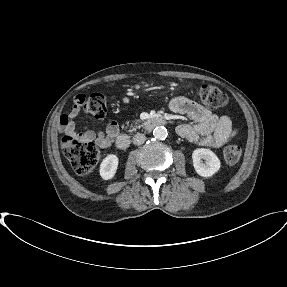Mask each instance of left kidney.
I'll return each mask as SVG.
<instances>
[{"label": "left kidney", "mask_w": 287, "mask_h": 287, "mask_svg": "<svg viewBox=\"0 0 287 287\" xmlns=\"http://www.w3.org/2000/svg\"><path fill=\"white\" fill-rule=\"evenodd\" d=\"M193 166L198 175L211 177L220 169V160L210 149L198 148L192 153ZM204 160V162H203Z\"/></svg>", "instance_id": "left-kidney-1"}]
</instances>
